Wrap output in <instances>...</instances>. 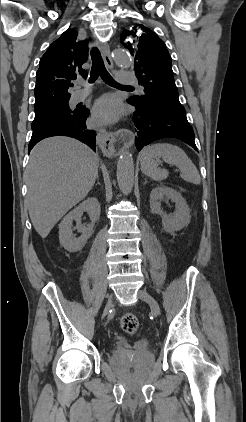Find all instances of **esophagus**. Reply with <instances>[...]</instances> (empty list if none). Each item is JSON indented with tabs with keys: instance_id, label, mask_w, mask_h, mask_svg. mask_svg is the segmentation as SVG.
<instances>
[{
	"instance_id": "obj_1",
	"label": "esophagus",
	"mask_w": 246,
	"mask_h": 422,
	"mask_svg": "<svg viewBox=\"0 0 246 422\" xmlns=\"http://www.w3.org/2000/svg\"><path fill=\"white\" fill-rule=\"evenodd\" d=\"M99 48L107 67L113 68L114 64L111 58L109 45L107 43H99ZM97 141L104 154H115L117 137L113 133L108 132L106 129H100L98 132Z\"/></svg>"
}]
</instances>
